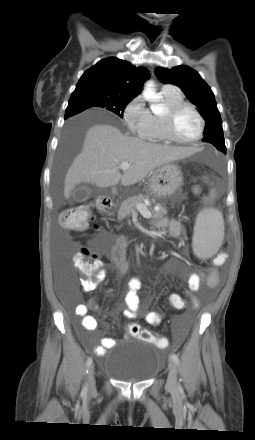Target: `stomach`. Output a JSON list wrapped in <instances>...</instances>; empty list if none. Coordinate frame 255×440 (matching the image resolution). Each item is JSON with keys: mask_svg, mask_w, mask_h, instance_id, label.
<instances>
[{"mask_svg": "<svg viewBox=\"0 0 255 440\" xmlns=\"http://www.w3.org/2000/svg\"><path fill=\"white\" fill-rule=\"evenodd\" d=\"M183 177L180 168L174 164L158 167L149 179V187L158 198L173 195L182 185Z\"/></svg>", "mask_w": 255, "mask_h": 440, "instance_id": "obj_1", "label": "stomach"}]
</instances>
